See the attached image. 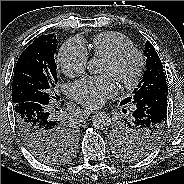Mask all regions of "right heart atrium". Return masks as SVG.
Listing matches in <instances>:
<instances>
[{"label": "right heart atrium", "mask_w": 184, "mask_h": 184, "mask_svg": "<svg viewBox=\"0 0 184 184\" xmlns=\"http://www.w3.org/2000/svg\"><path fill=\"white\" fill-rule=\"evenodd\" d=\"M87 62L88 49L79 37L67 40L58 52L57 63L67 76L74 77L83 73Z\"/></svg>", "instance_id": "right-heart-atrium-1"}]
</instances>
